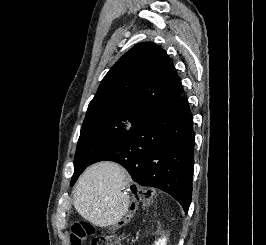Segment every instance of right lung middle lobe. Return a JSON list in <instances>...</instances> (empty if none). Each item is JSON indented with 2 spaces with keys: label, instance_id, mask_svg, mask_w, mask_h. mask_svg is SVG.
<instances>
[{
  "label": "right lung middle lobe",
  "instance_id": "1",
  "mask_svg": "<svg viewBox=\"0 0 266 245\" xmlns=\"http://www.w3.org/2000/svg\"><path fill=\"white\" fill-rule=\"evenodd\" d=\"M142 117L121 111H104L86 116L75 153L71 185L99 154L119 141Z\"/></svg>",
  "mask_w": 266,
  "mask_h": 245
}]
</instances>
